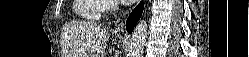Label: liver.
<instances>
[{"label":"liver","mask_w":249,"mask_h":57,"mask_svg":"<svg viewBox=\"0 0 249 57\" xmlns=\"http://www.w3.org/2000/svg\"><path fill=\"white\" fill-rule=\"evenodd\" d=\"M109 32L93 22L72 21L63 27L65 57H105Z\"/></svg>","instance_id":"6515ba94"}]
</instances>
